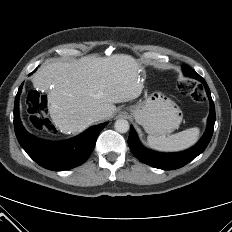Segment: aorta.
I'll list each match as a JSON object with an SVG mask.
<instances>
[{"instance_id": "obj_1", "label": "aorta", "mask_w": 232, "mask_h": 232, "mask_svg": "<svg viewBox=\"0 0 232 232\" xmlns=\"http://www.w3.org/2000/svg\"><path fill=\"white\" fill-rule=\"evenodd\" d=\"M129 122L125 119H118L114 124V128L119 133H126L129 130Z\"/></svg>"}]
</instances>
